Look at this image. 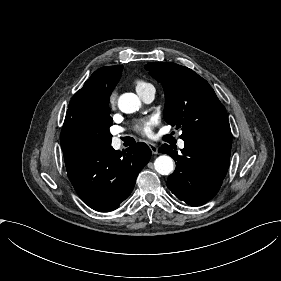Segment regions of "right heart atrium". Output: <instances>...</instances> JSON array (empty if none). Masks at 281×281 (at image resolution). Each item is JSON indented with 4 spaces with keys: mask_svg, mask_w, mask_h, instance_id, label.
<instances>
[{
    "mask_svg": "<svg viewBox=\"0 0 281 281\" xmlns=\"http://www.w3.org/2000/svg\"><path fill=\"white\" fill-rule=\"evenodd\" d=\"M117 93L116 92H111L110 95H109V103L111 105H115L116 102H117Z\"/></svg>",
    "mask_w": 281,
    "mask_h": 281,
    "instance_id": "1",
    "label": "right heart atrium"
}]
</instances>
